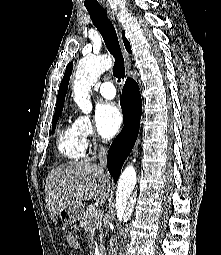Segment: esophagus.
Wrapping results in <instances>:
<instances>
[{"label": "esophagus", "instance_id": "34e87169", "mask_svg": "<svg viewBox=\"0 0 221 255\" xmlns=\"http://www.w3.org/2000/svg\"><path fill=\"white\" fill-rule=\"evenodd\" d=\"M107 13L108 15L110 16V18L112 20H115V13L113 10H111L110 8L107 9ZM121 48H122V51H123V56H124V60H125V66H126V69L127 71L129 72L130 69H131V59H130V56L129 54L127 53L124 45L122 44L121 42Z\"/></svg>", "mask_w": 221, "mask_h": 255}]
</instances>
